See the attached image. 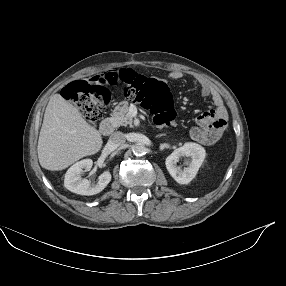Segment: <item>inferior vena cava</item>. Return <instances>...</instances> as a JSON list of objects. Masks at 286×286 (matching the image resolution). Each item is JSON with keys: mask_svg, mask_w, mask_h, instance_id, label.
I'll list each match as a JSON object with an SVG mask.
<instances>
[{"mask_svg": "<svg viewBox=\"0 0 286 286\" xmlns=\"http://www.w3.org/2000/svg\"><path fill=\"white\" fill-rule=\"evenodd\" d=\"M126 142L125 134L117 131L110 136V143L115 147H120Z\"/></svg>", "mask_w": 286, "mask_h": 286, "instance_id": "inferior-vena-cava-1", "label": "inferior vena cava"}]
</instances>
